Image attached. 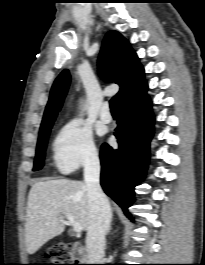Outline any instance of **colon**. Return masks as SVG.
I'll return each instance as SVG.
<instances>
[{"label": "colon", "instance_id": "5ec220e1", "mask_svg": "<svg viewBox=\"0 0 205 265\" xmlns=\"http://www.w3.org/2000/svg\"><path fill=\"white\" fill-rule=\"evenodd\" d=\"M80 254L68 244H58L51 247L47 253L46 258L52 264L47 265H74L69 264L75 261Z\"/></svg>", "mask_w": 205, "mask_h": 265}]
</instances>
